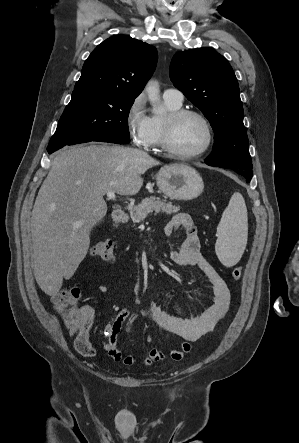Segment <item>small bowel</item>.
<instances>
[{
  "label": "small bowel",
  "mask_w": 299,
  "mask_h": 443,
  "mask_svg": "<svg viewBox=\"0 0 299 443\" xmlns=\"http://www.w3.org/2000/svg\"><path fill=\"white\" fill-rule=\"evenodd\" d=\"M177 231L182 234V243L177 249L169 252V257L176 265L194 266L205 274L212 287L211 302L198 315L187 314L177 305L174 306L173 314L165 312L154 303L146 304L139 313H132L128 308H122L103 331L107 340L102 349L114 361H121L127 366L136 363L134 356H123L117 348V340L122 332L126 333L129 330L139 315L152 322L161 333L174 334L184 340L180 349L171 351L173 360H181L186 353L191 351L190 343L210 333L229 308L230 290L224 279L202 254L197 231L189 215L182 213L175 215L164 228V233L168 237ZM81 314L88 323V329L76 336L75 347L81 355L92 357L96 349L90 340V330L95 313L92 307L84 306L81 308ZM147 341L152 342L150 336H147ZM163 359L164 354L161 351L152 349L142 363L149 366Z\"/></svg>",
  "instance_id": "1"
}]
</instances>
